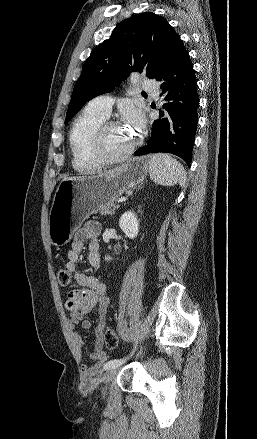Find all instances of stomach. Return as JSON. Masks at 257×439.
<instances>
[{"label": "stomach", "mask_w": 257, "mask_h": 439, "mask_svg": "<svg viewBox=\"0 0 257 439\" xmlns=\"http://www.w3.org/2000/svg\"><path fill=\"white\" fill-rule=\"evenodd\" d=\"M149 156L135 157L122 165L91 177L64 179L55 192L49 214V236L62 245L78 226L102 205L115 200L143 182L150 169Z\"/></svg>", "instance_id": "0dacf381"}]
</instances>
